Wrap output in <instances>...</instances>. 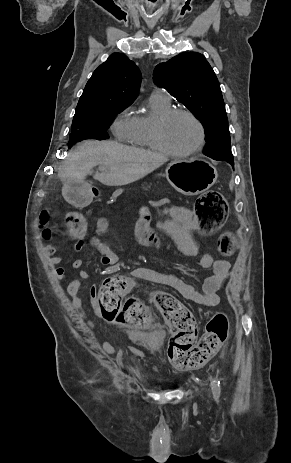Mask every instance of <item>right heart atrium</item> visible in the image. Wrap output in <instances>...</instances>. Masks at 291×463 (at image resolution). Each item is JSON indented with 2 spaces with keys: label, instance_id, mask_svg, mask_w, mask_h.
Masks as SVG:
<instances>
[{
  "label": "right heart atrium",
  "instance_id": "obj_1",
  "mask_svg": "<svg viewBox=\"0 0 291 463\" xmlns=\"http://www.w3.org/2000/svg\"><path fill=\"white\" fill-rule=\"evenodd\" d=\"M111 129L118 140L130 142L134 130V121L128 109L116 116Z\"/></svg>",
  "mask_w": 291,
  "mask_h": 463
}]
</instances>
